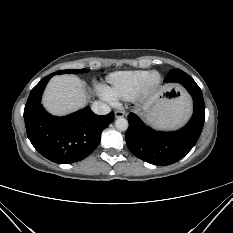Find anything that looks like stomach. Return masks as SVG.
<instances>
[{
	"mask_svg": "<svg viewBox=\"0 0 233 233\" xmlns=\"http://www.w3.org/2000/svg\"><path fill=\"white\" fill-rule=\"evenodd\" d=\"M190 111V102L184 93L170 86L158 93L147 118L157 127L177 128L187 120Z\"/></svg>",
	"mask_w": 233,
	"mask_h": 233,
	"instance_id": "stomach-1",
	"label": "stomach"
}]
</instances>
